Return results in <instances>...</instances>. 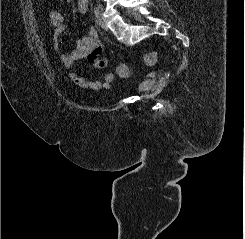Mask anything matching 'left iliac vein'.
Segmentation results:
<instances>
[{
  "mask_svg": "<svg viewBox=\"0 0 245 239\" xmlns=\"http://www.w3.org/2000/svg\"><path fill=\"white\" fill-rule=\"evenodd\" d=\"M98 23H99V26H100L103 30H107V29H108L107 24H106V21H105V19H104L102 16L99 17Z\"/></svg>",
  "mask_w": 245,
  "mask_h": 239,
  "instance_id": "left-iliac-vein-1",
  "label": "left iliac vein"
}]
</instances>
